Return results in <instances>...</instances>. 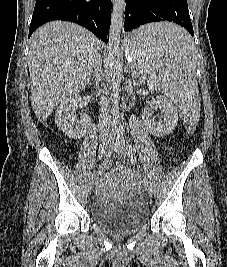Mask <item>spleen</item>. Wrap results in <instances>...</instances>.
Returning <instances> with one entry per match:
<instances>
[{
	"instance_id": "obj_1",
	"label": "spleen",
	"mask_w": 227,
	"mask_h": 267,
	"mask_svg": "<svg viewBox=\"0 0 227 267\" xmlns=\"http://www.w3.org/2000/svg\"><path fill=\"white\" fill-rule=\"evenodd\" d=\"M125 38L127 55L138 63L141 77L160 81L165 94L179 107L183 115H199V95L196 81V54L193 40L179 22L158 19L141 23Z\"/></svg>"
}]
</instances>
